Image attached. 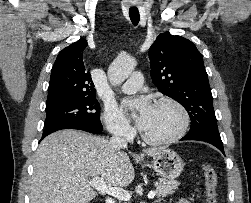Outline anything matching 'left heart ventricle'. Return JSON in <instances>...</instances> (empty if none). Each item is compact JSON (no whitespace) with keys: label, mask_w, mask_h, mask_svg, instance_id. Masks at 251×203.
<instances>
[{"label":"left heart ventricle","mask_w":251,"mask_h":203,"mask_svg":"<svg viewBox=\"0 0 251 203\" xmlns=\"http://www.w3.org/2000/svg\"><path fill=\"white\" fill-rule=\"evenodd\" d=\"M181 124V116L171 105L153 106L152 114L142 130L147 136L162 139L173 135Z\"/></svg>","instance_id":"b2bd125f"}]
</instances>
